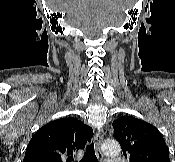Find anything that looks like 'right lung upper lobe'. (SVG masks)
I'll return each mask as SVG.
<instances>
[{
  "label": "right lung upper lobe",
  "instance_id": "cb5924a9",
  "mask_svg": "<svg viewBox=\"0 0 175 162\" xmlns=\"http://www.w3.org/2000/svg\"><path fill=\"white\" fill-rule=\"evenodd\" d=\"M92 136V128L76 118L51 121L33 135L23 162H72Z\"/></svg>",
  "mask_w": 175,
  "mask_h": 162
}]
</instances>
